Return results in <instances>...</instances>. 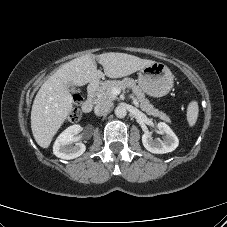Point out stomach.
Listing matches in <instances>:
<instances>
[{
	"instance_id": "0dacf381",
	"label": "stomach",
	"mask_w": 227,
	"mask_h": 227,
	"mask_svg": "<svg viewBox=\"0 0 227 227\" xmlns=\"http://www.w3.org/2000/svg\"><path fill=\"white\" fill-rule=\"evenodd\" d=\"M138 84L146 94L162 97L173 87V75L166 65L154 62L139 71Z\"/></svg>"
}]
</instances>
